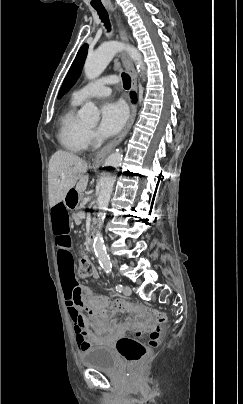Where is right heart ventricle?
Returning <instances> with one entry per match:
<instances>
[{"label":"right heart ventricle","instance_id":"right-heart-ventricle-1","mask_svg":"<svg viewBox=\"0 0 243 404\" xmlns=\"http://www.w3.org/2000/svg\"><path fill=\"white\" fill-rule=\"evenodd\" d=\"M75 91L72 93L69 106L62 112L58 119L56 138L63 151L70 154L81 155L88 147L86 141L87 130L76 117V110L84 100L78 97Z\"/></svg>","mask_w":243,"mask_h":404}]
</instances>
